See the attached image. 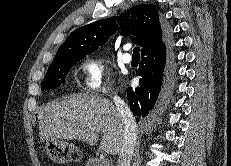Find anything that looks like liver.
I'll use <instances>...</instances> for the list:
<instances>
[{"instance_id":"obj_1","label":"liver","mask_w":231,"mask_h":166,"mask_svg":"<svg viewBox=\"0 0 231 166\" xmlns=\"http://www.w3.org/2000/svg\"><path fill=\"white\" fill-rule=\"evenodd\" d=\"M41 141L65 139L94 145L103 133L100 148L116 155L122 146L124 121L109 100L80 94L53 101L38 113Z\"/></svg>"}]
</instances>
